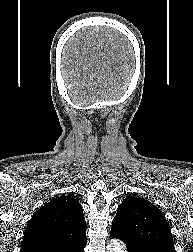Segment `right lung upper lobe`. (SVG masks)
<instances>
[{
	"label": "right lung upper lobe",
	"mask_w": 193,
	"mask_h": 252,
	"mask_svg": "<svg viewBox=\"0 0 193 252\" xmlns=\"http://www.w3.org/2000/svg\"><path fill=\"white\" fill-rule=\"evenodd\" d=\"M87 242L86 222L73 197L55 198L29 221L20 252H69Z\"/></svg>",
	"instance_id": "right-lung-upper-lobe-1"
}]
</instances>
